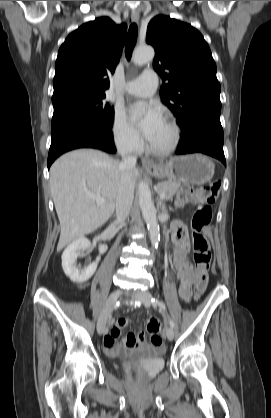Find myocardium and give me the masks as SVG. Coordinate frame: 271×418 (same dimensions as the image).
Wrapping results in <instances>:
<instances>
[{
  "label": "myocardium",
  "instance_id": "obj_1",
  "mask_svg": "<svg viewBox=\"0 0 271 418\" xmlns=\"http://www.w3.org/2000/svg\"><path fill=\"white\" fill-rule=\"evenodd\" d=\"M165 120L169 123V125L172 128L173 131V139L171 143L164 147V148H158L152 145L150 142L148 143V150L150 153L158 156H165L168 155L176 150V148L179 145L180 139H181V131L180 127L177 124V122L170 116H166Z\"/></svg>",
  "mask_w": 271,
  "mask_h": 418
}]
</instances>
